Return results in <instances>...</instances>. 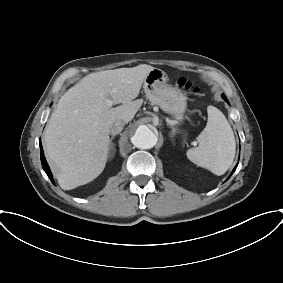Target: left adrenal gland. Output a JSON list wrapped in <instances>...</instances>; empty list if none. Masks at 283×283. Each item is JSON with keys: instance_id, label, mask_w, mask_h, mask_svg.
Wrapping results in <instances>:
<instances>
[{"instance_id": "1", "label": "left adrenal gland", "mask_w": 283, "mask_h": 283, "mask_svg": "<svg viewBox=\"0 0 283 283\" xmlns=\"http://www.w3.org/2000/svg\"><path fill=\"white\" fill-rule=\"evenodd\" d=\"M176 133H177L176 129L174 127H172V130H171V133H170V137L173 138Z\"/></svg>"}]
</instances>
